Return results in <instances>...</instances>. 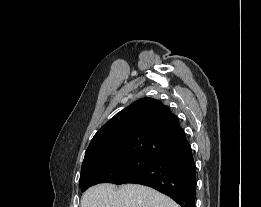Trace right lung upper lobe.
<instances>
[{
    "label": "right lung upper lobe",
    "instance_id": "obj_1",
    "mask_svg": "<svg viewBox=\"0 0 261 207\" xmlns=\"http://www.w3.org/2000/svg\"><path fill=\"white\" fill-rule=\"evenodd\" d=\"M189 145L178 117L153 98H141L110 119L91 140L83 166L126 156L159 159Z\"/></svg>",
    "mask_w": 261,
    "mask_h": 207
}]
</instances>
